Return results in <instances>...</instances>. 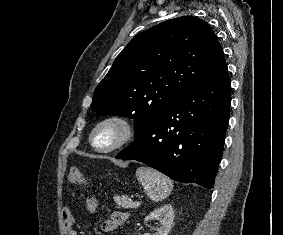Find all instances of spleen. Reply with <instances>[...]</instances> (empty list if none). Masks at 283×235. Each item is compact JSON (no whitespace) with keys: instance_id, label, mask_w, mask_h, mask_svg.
I'll return each mask as SVG.
<instances>
[{"instance_id":"spleen-1","label":"spleen","mask_w":283,"mask_h":235,"mask_svg":"<svg viewBox=\"0 0 283 235\" xmlns=\"http://www.w3.org/2000/svg\"><path fill=\"white\" fill-rule=\"evenodd\" d=\"M136 176L144 192L154 202L166 199L173 189L172 180L152 168L139 167L136 170Z\"/></svg>"}]
</instances>
